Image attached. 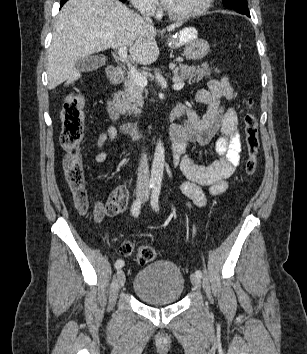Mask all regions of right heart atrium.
Masks as SVG:
<instances>
[{"mask_svg":"<svg viewBox=\"0 0 307 354\" xmlns=\"http://www.w3.org/2000/svg\"><path fill=\"white\" fill-rule=\"evenodd\" d=\"M131 4L144 14H153L157 9L156 0H130Z\"/></svg>","mask_w":307,"mask_h":354,"instance_id":"1","label":"right heart atrium"}]
</instances>
